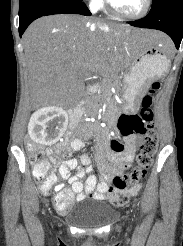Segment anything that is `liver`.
Here are the masks:
<instances>
[{
  "mask_svg": "<svg viewBox=\"0 0 183 246\" xmlns=\"http://www.w3.org/2000/svg\"><path fill=\"white\" fill-rule=\"evenodd\" d=\"M137 39L171 45L158 31L105 23L80 15H51L34 21L23 35L30 95L37 105L69 107L85 94L88 72L107 76L125 69Z\"/></svg>",
  "mask_w": 183,
  "mask_h": 246,
  "instance_id": "liver-1",
  "label": "liver"
}]
</instances>
